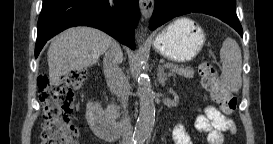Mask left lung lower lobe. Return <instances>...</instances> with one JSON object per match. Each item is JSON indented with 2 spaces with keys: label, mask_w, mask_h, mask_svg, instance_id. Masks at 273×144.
<instances>
[{
  "label": "left lung lower lobe",
  "mask_w": 273,
  "mask_h": 144,
  "mask_svg": "<svg viewBox=\"0 0 273 144\" xmlns=\"http://www.w3.org/2000/svg\"><path fill=\"white\" fill-rule=\"evenodd\" d=\"M191 12L217 17L243 36L242 27L236 15L235 0H155V9L149 28L154 30L177 16Z\"/></svg>",
  "instance_id": "1"
}]
</instances>
